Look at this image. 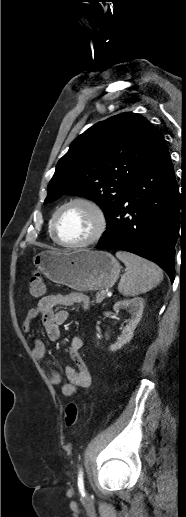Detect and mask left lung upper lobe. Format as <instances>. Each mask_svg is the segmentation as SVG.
Listing matches in <instances>:
<instances>
[{
    "mask_svg": "<svg viewBox=\"0 0 186 517\" xmlns=\"http://www.w3.org/2000/svg\"><path fill=\"white\" fill-rule=\"evenodd\" d=\"M163 142L154 125L136 113L98 122L78 136L59 160L44 204L62 194L85 196L102 208L108 222L130 182Z\"/></svg>",
    "mask_w": 186,
    "mask_h": 517,
    "instance_id": "1",
    "label": "left lung upper lobe"
}]
</instances>
